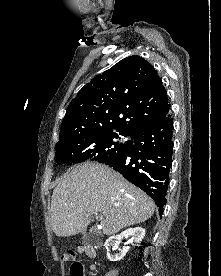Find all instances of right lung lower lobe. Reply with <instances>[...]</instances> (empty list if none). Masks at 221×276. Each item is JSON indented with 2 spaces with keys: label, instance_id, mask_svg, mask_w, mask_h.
Listing matches in <instances>:
<instances>
[{
  "label": "right lung lower lobe",
  "instance_id": "right-lung-lower-lobe-1",
  "mask_svg": "<svg viewBox=\"0 0 221 276\" xmlns=\"http://www.w3.org/2000/svg\"><path fill=\"white\" fill-rule=\"evenodd\" d=\"M126 151L104 162L144 190L162 215L166 204L173 154V119L170 113L132 134Z\"/></svg>",
  "mask_w": 221,
  "mask_h": 276
}]
</instances>
